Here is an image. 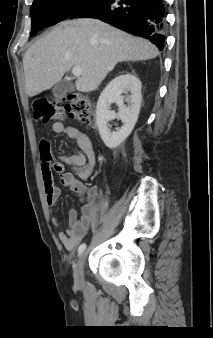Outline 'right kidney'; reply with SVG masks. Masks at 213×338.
<instances>
[{
  "label": "right kidney",
  "instance_id": "right-kidney-1",
  "mask_svg": "<svg viewBox=\"0 0 213 338\" xmlns=\"http://www.w3.org/2000/svg\"><path fill=\"white\" fill-rule=\"evenodd\" d=\"M128 93L129 96L122 95ZM141 99V82L135 75L129 73L117 76L102 91L97 102L96 123L100 136L108 148L118 147L131 134L138 120ZM124 101L127 102V106ZM112 103L119 106L117 114L109 109ZM115 118H119L123 126L111 131L108 122Z\"/></svg>",
  "mask_w": 213,
  "mask_h": 338
}]
</instances>
